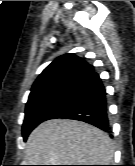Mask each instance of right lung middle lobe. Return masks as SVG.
Masks as SVG:
<instances>
[{
	"instance_id": "obj_1",
	"label": "right lung middle lobe",
	"mask_w": 135,
	"mask_h": 166,
	"mask_svg": "<svg viewBox=\"0 0 135 166\" xmlns=\"http://www.w3.org/2000/svg\"><path fill=\"white\" fill-rule=\"evenodd\" d=\"M72 98L68 86L60 87L46 95L28 102L25 109V119L22 126L24 140L29 133L43 121L56 118L65 111Z\"/></svg>"
}]
</instances>
